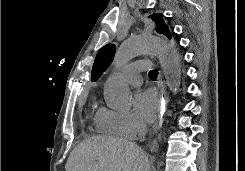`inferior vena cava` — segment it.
<instances>
[{"label":"inferior vena cava","instance_id":"602c4592","mask_svg":"<svg viewBox=\"0 0 245 171\" xmlns=\"http://www.w3.org/2000/svg\"><path fill=\"white\" fill-rule=\"evenodd\" d=\"M146 131H147L146 124L145 123H141L139 125V137H140L141 141H144L145 140Z\"/></svg>","mask_w":245,"mask_h":171}]
</instances>
